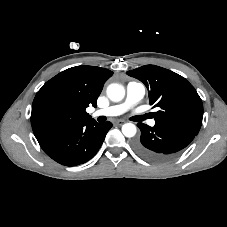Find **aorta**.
<instances>
[{"mask_svg": "<svg viewBox=\"0 0 227 227\" xmlns=\"http://www.w3.org/2000/svg\"><path fill=\"white\" fill-rule=\"evenodd\" d=\"M108 98L113 102L121 101L125 96V89L118 83H112L106 90ZM137 128L133 123H126L122 126V133L125 137L131 138L135 136Z\"/></svg>", "mask_w": 227, "mask_h": 227, "instance_id": "1", "label": "aorta"}]
</instances>
